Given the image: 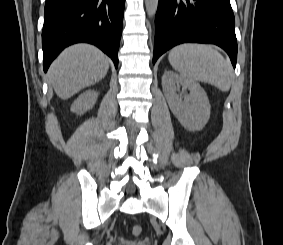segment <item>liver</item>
I'll use <instances>...</instances> for the list:
<instances>
[{
  "label": "liver",
  "mask_w": 283,
  "mask_h": 245,
  "mask_svg": "<svg viewBox=\"0 0 283 245\" xmlns=\"http://www.w3.org/2000/svg\"><path fill=\"white\" fill-rule=\"evenodd\" d=\"M108 69L109 58L103 52L89 44H77L51 64L48 78L57 96L68 99L103 79Z\"/></svg>",
  "instance_id": "liver-1"
}]
</instances>
